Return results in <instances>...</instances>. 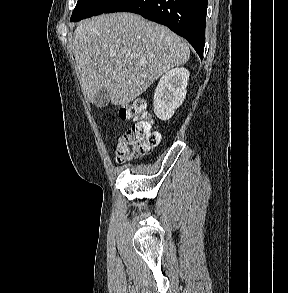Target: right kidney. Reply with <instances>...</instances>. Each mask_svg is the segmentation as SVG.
<instances>
[{"label": "right kidney", "instance_id": "1", "mask_svg": "<svg viewBox=\"0 0 288 293\" xmlns=\"http://www.w3.org/2000/svg\"><path fill=\"white\" fill-rule=\"evenodd\" d=\"M189 71L175 68L160 79L154 93V112L161 120L170 119L186 97Z\"/></svg>", "mask_w": 288, "mask_h": 293}]
</instances>
